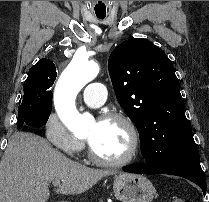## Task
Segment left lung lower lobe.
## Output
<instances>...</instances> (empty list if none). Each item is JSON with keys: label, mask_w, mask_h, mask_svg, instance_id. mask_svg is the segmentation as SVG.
<instances>
[{"label": "left lung lower lobe", "mask_w": 209, "mask_h": 202, "mask_svg": "<svg viewBox=\"0 0 209 202\" xmlns=\"http://www.w3.org/2000/svg\"><path fill=\"white\" fill-rule=\"evenodd\" d=\"M124 171L137 174H170L184 177L200 186L203 194H206V179L200 166V157L196 144L186 146L166 163L156 165L148 162L139 163L125 167Z\"/></svg>", "instance_id": "obj_1"}]
</instances>
